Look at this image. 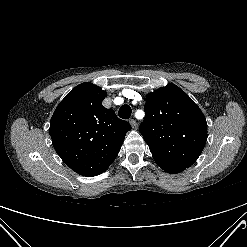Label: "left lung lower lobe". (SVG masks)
Wrapping results in <instances>:
<instances>
[{"instance_id":"obj_1","label":"left lung lower lobe","mask_w":247,"mask_h":247,"mask_svg":"<svg viewBox=\"0 0 247 247\" xmlns=\"http://www.w3.org/2000/svg\"><path fill=\"white\" fill-rule=\"evenodd\" d=\"M156 163L166 172L168 173H172V174H175V173H179V172H182L183 170L186 169V167H183V166H178V165H174V164H169V163H166V162H162V161H158V160H155Z\"/></svg>"}]
</instances>
